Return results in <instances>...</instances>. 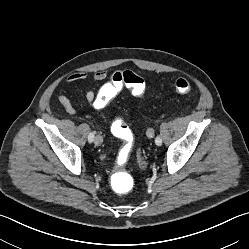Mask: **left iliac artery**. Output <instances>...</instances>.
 Wrapping results in <instances>:
<instances>
[{
  "mask_svg": "<svg viewBox=\"0 0 249 249\" xmlns=\"http://www.w3.org/2000/svg\"><path fill=\"white\" fill-rule=\"evenodd\" d=\"M155 143H156V145L160 146L162 144V139L159 136H157L155 138Z\"/></svg>",
  "mask_w": 249,
  "mask_h": 249,
  "instance_id": "left-iliac-artery-1",
  "label": "left iliac artery"
}]
</instances>
